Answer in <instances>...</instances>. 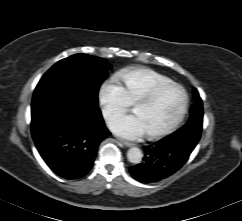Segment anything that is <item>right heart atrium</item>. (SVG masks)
Listing matches in <instances>:
<instances>
[{
    "label": "right heart atrium",
    "mask_w": 242,
    "mask_h": 221,
    "mask_svg": "<svg viewBox=\"0 0 242 221\" xmlns=\"http://www.w3.org/2000/svg\"><path fill=\"white\" fill-rule=\"evenodd\" d=\"M98 101L106 120L125 112L131 106L123 87L114 80H106L98 89Z\"/></svg>",
    "instance_id": "d8ad5b80"
}]
</instances>
